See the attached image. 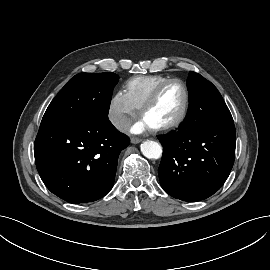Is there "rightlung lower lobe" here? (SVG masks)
<instances>
[{"mask_svg":"<svg viewBox=\"0 0 270 270\" xmlns=\"http://www.w3.org/2000/svg\"><path fill=\"white\" fill-rule=\"evenodd\" d=\"M130 143L107 116L80 122H44L34 143L46 187L70 203H87L113 187L120 152Z\"/></svg>","mask_w":270,"mask_h":270,"instance_id":"1","label":"right lung lower lobe"}]
</instances>
